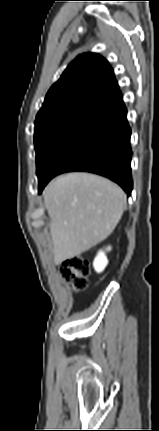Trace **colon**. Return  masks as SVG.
<instances>
[{"label": "colon", "mask_w": 159, "mask_h": 431, "mask_svg": "<svg viewBox=\"0 0 159 431\" xmlns=\"http://www.w3.org/2000/svg\"><path fill=\"white\" fill-rule=\"evenodd\" d=\"M91 266L87 259L75 255L63 261L60 273L74 291H82L88 287V276Z\"/></svg>", "instance_id": "obj_1"}]
</instances>
